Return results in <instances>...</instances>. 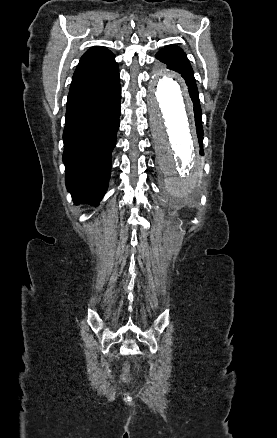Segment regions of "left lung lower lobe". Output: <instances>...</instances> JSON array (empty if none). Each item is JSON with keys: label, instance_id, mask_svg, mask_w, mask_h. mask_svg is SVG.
<instances>
[{"label": "left lung lower lobe", "instance_id": "1", "mask_svg": "<svg viewBox=\"0 0 277 438\" xmlns=\"http://www.w3.org/2000/svg\"><path fill=\"white\" fill-rule=\"evenodd\" d=\"M195 122H196V129H197L200 149H201V153L203 154V150H202L203 129H202L201 113L195 114Z\"/></svg>", "mask_w": 277, "mask_h": 438}]
</instances>
